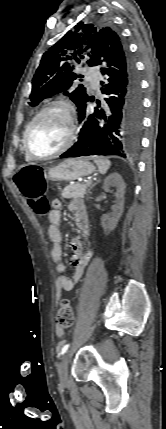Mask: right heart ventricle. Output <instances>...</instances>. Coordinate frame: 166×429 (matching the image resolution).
<instances>
[{
  "label": "right heart ventricle",
  "instance_id": "1",
  "mask_svg": "<svg viewBox=\"0 0 166 429\" xmlns=\"http://www.w3.org/2000/svg\"><path fill=\"white\" fill-rule=\"evenodd\" d=\"M25 159L26 161H31V159L26 155V153H25Z\"/></svg>",
  "mask_w": 166,
  "mask_h": 429
}]
</instances>
